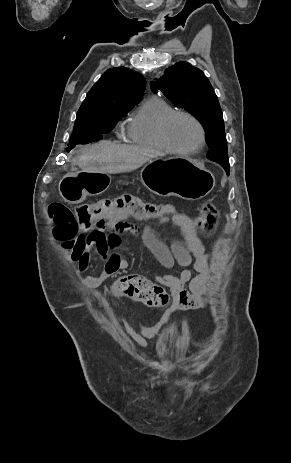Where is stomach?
Here are the masks:
<instances>
[{
  "instance_id": "1",
  "label": "stomach",
  "mask_w": 291,
  "mask_h": 463,
  "mask_svg": "<svg viewBox=\"0 0 291 463\" xmlns=\"http://www.w3.org/2000/svg\"><path fill=\"white\" fill-rule=\"evenodd\" d=\"M143 178L148 188L158 195H174L191 201L205 197L215 186V178L209 170L193 159L182 156L149 161L144 168ZM108 187L105 174L82 171L63 177L58 189L66 202L76 204L88 194H99Z\"/></svg>"
}]
</instances>
